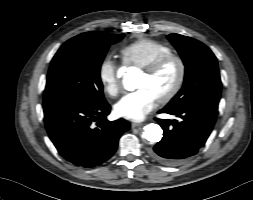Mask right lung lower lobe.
Segmentation results:
<instances>
[{
	"mask_svg": "<svg viewBox=\"0 0 253 200\" xmlns=\"http://www.w3.org/2000/svg\"><path fill=\"white\" fill-rule=\"evenodd\" d=\"M110 105L72 102L43 104L44 122L58 152L76 166L94 167L116 151L120 136L130 128L122 119L108 121Z\"/></svg>",
	"mask_w": 253,
	"mask_h": 200,
	"instance_id": "1",
	"label": "right lung lower lobe"
}]
</instances>
